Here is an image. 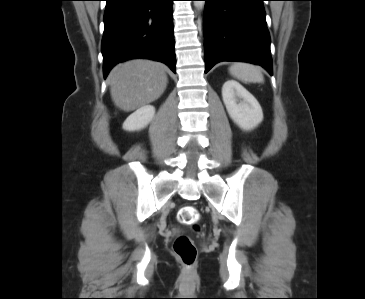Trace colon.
Listing matches in <instances>:
<instances>
[{
  "label": "colon",
  "instance_id": "colon-1",
  "mask_svg": "<svg viewBox=\"0 0 365 299\" xmlns=\"http://www.w3.org/2000/svg\"><path fill=\"white\" fill-rule=\"evenodd\" d=\"M199 219V212L194 206H184L178 212L179 222L191 227L195 232L200 231ZM173 250L184 266L194 265L197 258V248L188 235H179L174 241Z\"/></svg>",
  "mask_w": 365,
  "mask_h": 299
}]
</instances>
